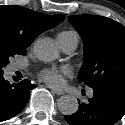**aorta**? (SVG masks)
<instances>
[{
  "label": "aorta",
  "mask_w": 125,
  "mask_h": 125,
  "mask_svg": "<svg viewBox=\"0 0 125 125\" xmlns=\"http://www.w3.org/2000/svg\"><path fill=\"white\" fill-rule=\"evenodd\" d=\"M36 57L44 62L55 60L59 51L53 40L49 38L38 39L33 46ZM59 111L64 115H72L78 110V101L74 96H61L57 102Z\"/></svg>",
  "instance_id": "1"
}]
</instances>
